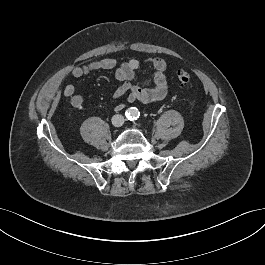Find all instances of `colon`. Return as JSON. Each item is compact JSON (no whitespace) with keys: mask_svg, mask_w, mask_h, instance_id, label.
I'll list each match as a JSON object with an SVG mask.
<instances>
[{"mask_svg":"<svg viewBox=\"0 0 265 265\" xmlns=\"http://www.w3.org/2000/svg\"><path fill=\"white\" fill-rule=\"evenodd\" d=\"M178 81L181 86H188L191 83V76L185 71H179L177 73Z\"/></svg>","mask_w":265,"mask_h":265,"instance_id":"obj_1","label":"colon"}]
</instances>
